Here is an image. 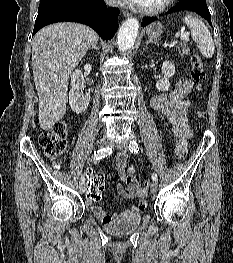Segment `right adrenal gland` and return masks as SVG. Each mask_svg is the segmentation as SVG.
<instances>
[{
  "mask_svg": "<svg viewBox=\"0 0 233 263\" xmlns=\"http://www.w3.org/2000/svg\"><path fill=\"white\" fill-rule=\"evenodd\" d=\"M92 49L98 50L97 41L94 42L93 45L89 48V50H92Z\"/></svg>",
  "mask_w": 233,
  "mask_h": 263,
  "instance_id": "2a0ac1e0",
  "label": "right adrenal gland"
}]
</instances>
